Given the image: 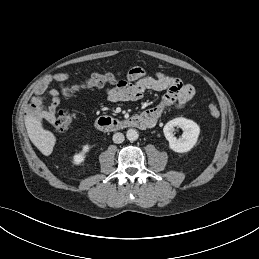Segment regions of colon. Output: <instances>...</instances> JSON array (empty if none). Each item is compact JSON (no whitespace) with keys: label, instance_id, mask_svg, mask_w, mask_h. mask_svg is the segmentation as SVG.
Here are the masks:
<instances>
[{"label":"colon","instance_id":"obj_1","mask_svg":"<svg viewBox=\"0 0 259 259\" xmlns=\"http://www.w3.org/2000/svg\"><path fill=\"white\" fill-rule=\"evenodd\" d=\"M120 82V75L107 73V74H93L91 76L86 77L80 83H68L61 87V94L65 97L70 96L80 88L85 87H100L106 84H117ZM208 113L212 117L219 116L218 108L211 104L208 106ZM73 125V115L69 112H61L55 120L54 127L58 132H66Z\"/></svg>","mask_w":259,"mask_h":259}]
</instances>
